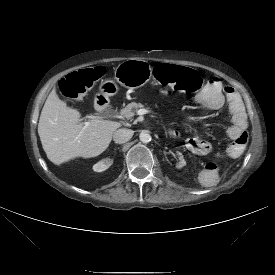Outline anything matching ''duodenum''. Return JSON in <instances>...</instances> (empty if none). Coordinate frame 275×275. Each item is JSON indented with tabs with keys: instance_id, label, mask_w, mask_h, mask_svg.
<instances>
[{
	"instance_id": "1",
	"label": "duodenum",
	"mask_w": 275,
	"mask_h": 275,
	"mask_svg": "<svg viewBox=\"0 0 275 275\" xmlns=\"http://www.w3.org/2000/svg\"><path fill=\"white\" fill-rule=\"evenodd\" d=\"M95 108L99 113H103L108 109V100L102 96L98 95L95 98Z\"/></svg>"
}]
</instances>
